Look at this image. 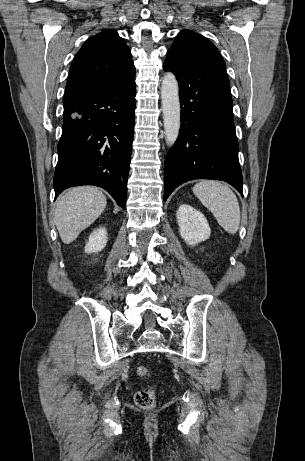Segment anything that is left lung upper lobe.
<instances>
[{
	"label": "left lung upper lobe",
	"instance_id": "obj_1",
	"mask_svg": "<svg viewBox=\"0 0 305 461\" xmlns=\"http://www.w3.org/2000/svg\"><path fill=\"white\" fill-rule=\"evenodd\" d=\"M166 59L188 66H225L217 48L202 35L189 30H183L176 36Z\"/></svg>",
	"mask_w": 305,
	"mask_h": 461
}]
</instances>
